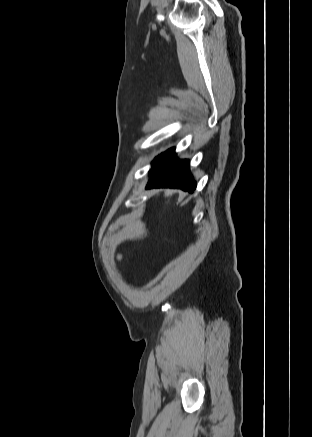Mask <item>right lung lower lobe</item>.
<instances>
[{"mask_svg": "<svg viewBox=\"0 0 312 437\" xmlns=\"http://www.w3.org/2000/svg\"><path fill=\"white\" fill-rule=\"evenodd\" d=\"M173 150L171 148L155 158L147 188L170 187L193 192L196 182L189 172V160H178Z\"/></svg>", "mask_w": 312, "mask_h": 437, "instance_id": "right-lung-lower-lobe-1", "label": "right lung lower lobe"}]
</instances>
